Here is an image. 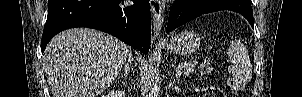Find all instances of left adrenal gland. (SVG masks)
Wrapping results in <instances>:
<instances>
[{"instance_id": "a2214340", "label": "left adrenal gland", "mask_w": 302, "mask_h": 97, "mask_svg": "<svg viewBox=\"0 0 302 97\" xmlns=\"http://www.w3.org/2000/svg\"><path fill=\"white\" fill-rule=\"evenodd\" d=\"M170 85H174V81H171V83H170ZM174 89L176 90V91H179V87H178V85H174Z\"/></svg>"}]
</instances>
